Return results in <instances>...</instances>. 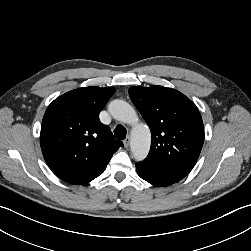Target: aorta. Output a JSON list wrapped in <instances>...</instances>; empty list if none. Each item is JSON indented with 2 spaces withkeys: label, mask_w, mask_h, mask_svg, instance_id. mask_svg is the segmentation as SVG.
<instances>
[{
  "label": "aorta",
  "mask_w": 251,
  "mask_h": 251,
  "mask_svg": "<svg viewBox=\"0 0 251 251\" xmlns=\"http://www.w3.org/2000/svg\"><path fill=\"white\" fill-rule=\"evenodd\" d=\"M108 111L114 119L133 125L130 144L131 152L135 160H144L150 150L151 133L149 127L144 123L138 122L134 108L123 100L115 99L111 101Z\"/></svg>",
  "instance_id": "762f6f07"
}]
</instances>
